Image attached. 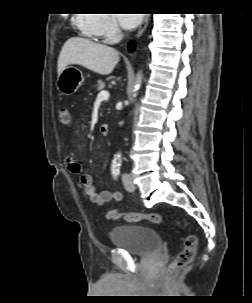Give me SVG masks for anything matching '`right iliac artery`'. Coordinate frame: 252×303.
<instances>
[{"label": "right iliac artery", "instance_id": "obj_1", "mask_svg": "<svg viewBox=\"0 0 252 303\" xmlns=\"http://www.w3.org/2000/svg\"><path fill=\"white\" fill-rule=\"evenodd\" d=\"M111 172L114 178H118L120 174V168L118 165H112L111 167Z\"/></svg>", "mask_w": 252, "mask_h": 303}]
</instances>
